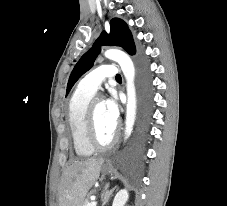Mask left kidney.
Returning <instances> with one entry per match:
<instances>
[{
  "label": "left kidney",
  "instance_id": "5707ae66",
  "mask_svg": "<svg viewBox=\"0 0 227 206\" xmlns=\"http://www.w3.org/2000/svg\"><path fill=\"white\" fill-rule=\"evenodd\" d=\"M129 198L128 191L126 189H121L115 195L112 206H124Z\"/></svg>",
  "mask_w": 227,
  "mask_h": 206
}]
</instances>
